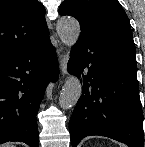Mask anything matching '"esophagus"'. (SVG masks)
<instances>
[{"instance_id": "obj_1", "label": "esophagus", "mask_w": 145, "mask_h": 147, "mask_svg": "<svg viewBox=\"0 0 145 147\" xmlns=\"http://www.w3.org/2000/svg\"><path fill=\"white\" fill-rule=\"evenodd\" d=\"M58 56L62 74L65 75L67 72L68 55L62 49H58Z\"/></svg>"}]
</instances>
